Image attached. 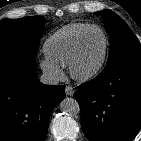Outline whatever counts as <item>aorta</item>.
Here are the masks:
<instances>
[{
    "instance_id": "obj_1",
    "label": "aorta",
    "mask_w": 141,
    "mask_h": 141,
    "mask_svg": "<svg viewBox=\"0 0 141 141\" xmlns=\"http://www.w3.org/2000/svg\"><path fill=\"white\" fill-rule=\"evenodd\" d=\"M60 110L70 116L76 115L80 112L78 102L74 98H65L59 104Z\"/></svg>"
}]
</instances>
